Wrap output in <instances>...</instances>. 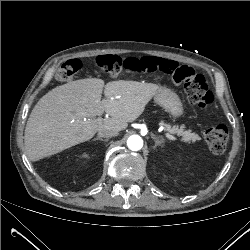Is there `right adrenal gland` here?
I'll return each instance as SVG.
<instances>
[{"label":"right adrenal gland","mask_w":250,"mask_h":250,"mask_svg":"<svg viewBox=\"0 0 250 250\" xmlns=\"http://www.w3.org/2000/svg\"><path fill=\"white\" fill-rule=\"evenodd\" d=\"M96 140L103 141V142H108L109 139H102L100 137H96V138L93 139V141H96Z\"/></svg>","instance_id":"2a0ac1e0"}]
</instances>
